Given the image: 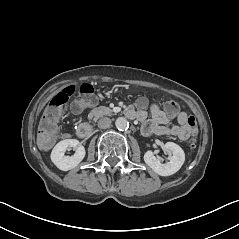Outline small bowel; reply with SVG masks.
<instances>
[{
	"label": "small bowel",
	"instance_id": "c3829d8e",
	"mask_svg": "<svg viewBox=\"0 0 239 239\" xmlns=\"http://www.w3.org/2000/svg\"><path fill=\"white\" fill-rule=\"evenodd\" d=\"M148 112L150 118H148ZM127 115L130 118L136 117L142 122V133L145 136L158 135L187 140L192 134V130L187 124L188 115L185 112L170 116L162 111L157 104H149L145 97L137 99L133 106L128 109ZM175 117L177 124L170 126V121Z\"/></svg>",
	"mask_w": 239,
	"mask_h": 239
}]
</instances>
